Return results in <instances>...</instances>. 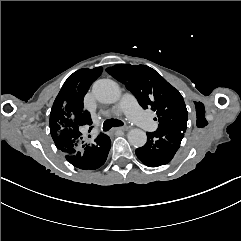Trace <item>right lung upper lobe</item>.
Here are the masks:
<instances>
[{
    "label": "right lung upper lobe",
    "mask_w": 241,
    "mask_h": 241,
    "mask_svg": "<svg viewBox=\"0 0 241 241\" xmlns=\"http://www.w3.org/2000/svg\"><path fill=\"white\" fill-rule=\"evenodd\" d=\"M103 68L80 69L63 84L50 113V132L56 147L64 155H73L84 144L92 119L84 109L83 99L90 85L101 75ZM105 134L98 135L97 138ZM96 138V139H97Z\"/></svg>",
    "instance_id": "right-lung-upper-lobe-1"
}]
</instances>
